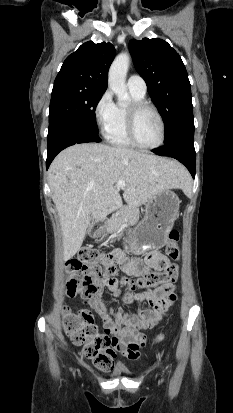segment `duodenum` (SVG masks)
I'll return each mask as SVG.
<instances>
[{"label": "duodenum", "mask_w": 233, "mask_h": 413, "mask_svg": "<svg viewBox=\"0 0 233 413\" xmlns=\"http://www.w3.org/2000/svg\"><path fill=\"white\" fill-rule=\"evenodd\" d=\"M104 225H105V222H104V221H100V222L95 223V224L93 225V227H92L91 233H92L93 235L97 234V233L99 232V230H100Z\"/></svg>", "instance_id": "obj_1"}]
</instances>
